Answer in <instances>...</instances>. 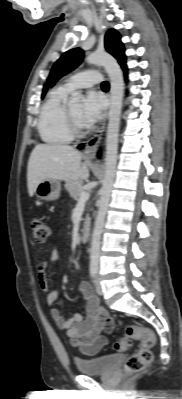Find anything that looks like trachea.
Segmentation results:
<instances>
[{
    "instance_id": "obj_1",
    "label": "trachea",
    "mask_w": 182,
    "mask_h": 399,
    "mask_svg": "<svg viewBox=\"0 0 182 399\" xmlns=\"http://www.w3.org/2000/svg\"><path fill=\"white\" fill-rule=\"evenodd\" d=\"M101 87H102L103 89H109V83H108L107 81H104V82L101 84Z\"/></svg>"
}]
</instances>
